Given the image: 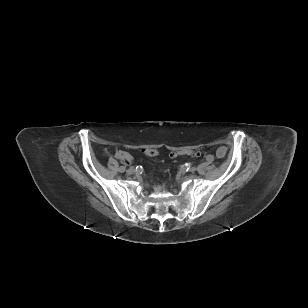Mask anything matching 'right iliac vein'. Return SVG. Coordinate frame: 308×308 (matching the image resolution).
Wrapping results in <instances>:
<instances>
[{
	"mask_svg": "<svg viewBox=\"0 0 308 308\" xmlns=\"http://www.w3.org/2000/svg\"><path fill=\"white\" fill-rule=\"evenodd\" d=\"M133 172H134V170L131 169V168L127 170V173H128V174H133Z\"/></svg>",
	"mask_w": 308,
	"mask_h": 308,
	"instance_id": "obj_1",
	"label": "right iliac vein"
}]
</instances>
